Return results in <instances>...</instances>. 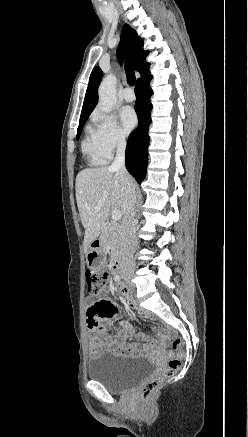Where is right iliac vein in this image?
<instances>
[{
	"instance_id": "63e3f726",
	"label": "right iliac vein",
	"mask_w": 248,
	"mask_h": 437,
	"mask_svg": "<svg viewBox=\"0 0 248 437\" xmlns=\"http://www.w3.org/2000/svg\"><path fill=\"white\" fill-rule=\"evenodd\" d=\"M125 278H126V280H129V279H130V277H129V276H126Z\"/></svg>"
}]
</instances>
